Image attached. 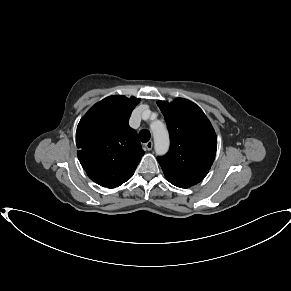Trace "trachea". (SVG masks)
I'll return each mask as SVG.
<instances>
[{
	"mask_svg": "<svg viewBox=\"0 0 291 291\" xmlns=\"http://www.w3.org/2000/svg\"><path fill=\"white\" fill-rule=\"evenodd\" d=\"M150 132L148 130H142L139 132V138L142 142H148L150 140Z\"/></svg>",
	"mask_w": 291,
	"mask_h": 291,
	"instance_id": "3493384b",
	"label": "trachea"
}]
</instances>
